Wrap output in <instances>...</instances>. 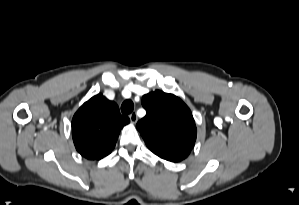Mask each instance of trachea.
Here are the masks:
<instances>
[{"label": "trachea", "mask_w": 299, "mask_h": 205, "mask_svg": "<svg viewBox=\"0 0 299 205\" xmlns=\"http://www.w3.org/2000/svg\"><path fill=\"white\" fill-rule=\"evenodd\" d=\"M134 109V104L131 100H126L121 105V111L123 114H130Z\"/></svg>", "instance_id": "trachea-1"}]
</instances>
